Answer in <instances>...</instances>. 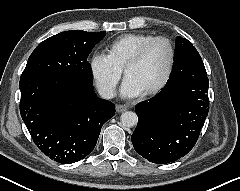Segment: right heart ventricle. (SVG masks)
Masks as SVG:
<instances>
[{
  "instance_id": "obj_1",
  "label": "right heart ventricle",
  "mask_w": 240,
  "mask_h": 191,
  "mask_svg": "<svg viewBox=\"0 0 240 191\" xmlns=\"http://www.w3.org/2000/svg\"><path fill=\"white\" fill-rule=\"evenodd\" d=\"M153 35L145 33L126 34L112 41L107 47V55L121 70L136 51Z\"/></svg>"
}]
</instances>
